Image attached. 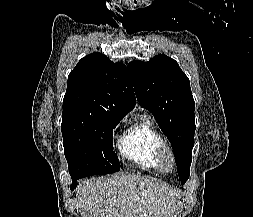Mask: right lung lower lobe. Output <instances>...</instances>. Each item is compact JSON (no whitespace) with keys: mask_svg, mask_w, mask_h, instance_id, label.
Returning <instances> with one entry per match:
<instances>
[{"mask_svg":"<svg viewBox=\"0 0 253 217\" xmlns=\"http://www.w3.org/2000/svg\"><path fill=\"white\" fill-rule=\"evenodd\" d=\"M76 180L77 179L73 180V184L71 185V189H74V187H76Z\"/></svg>","mask_w":253,"mask_h":217,"instance_id":"obj_1","label":"right lung lower lobe"}]
</instances>
